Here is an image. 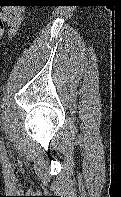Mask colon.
<instances>
[{
	"instance_id": "obj_1",
	"label": "colon",
	"mask_w": 121,
	"mask_h": 197,
	"mask_svg": "<svg viewBox=\"0 0 121 197\" xmlns=\"http://www.w3.org/2000/svg\"><path fill=\"white\" fill-rule=\"evenodd\" d=\"M4 35V23L3 20L0 19V40L3 38Z\"/></svg>"
}]
</instances>
